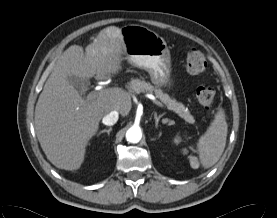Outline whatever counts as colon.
Wrapping results in <instances>:
<instances>
[{"mask_svg":"<svg viewBox=\"0 0 277 218\" xmlns=\"http://www.w3.org/2000/svg\"><path fill=\"white\" fill-rule=\"evenodd\" d=\"M185 66L192 75H198L205 71L207 66L206 57L199 49H190L186 55ZM196 99L205 109H211L216 100V91L208 85H201L196 89Z\"/></svg>","mask_w":277,"mask_h":218,"instance_id":"obj_1","label":"colon"}]
</instances>
